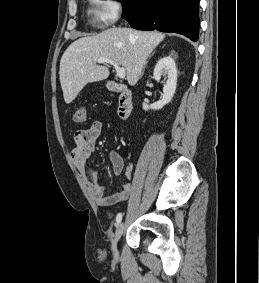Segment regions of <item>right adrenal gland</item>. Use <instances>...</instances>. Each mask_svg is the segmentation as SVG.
Here are the masks:
<instances>
[{
  "mask_svg": "<svg viewBox=\"0 0 259 283\" xmlns=\"http://www.w3.org/2000/svg\"><path fill=\"white\" fill-rule=\"evenodd\" d=\"M153 55V54H152ZM151 55V56H152ZM151 56H149V58L151 57ZM145 66V65H144ZM144 69H145V67L143 68V72L141 73V77H142V75H143V73H144Z\"/></svg>",
  "mask_w": 259,
  "mask_h": 283,
  "instance_id": "2a0ac1e0",
  "label": "right adrenal gland"
}]
</instances>
